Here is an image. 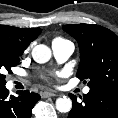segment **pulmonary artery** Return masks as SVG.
<instances>
[{"instance_id":"pulmonary-artery-1","label":"pulmonary artery","mask_w":118,"mask_h":118,"mask_svg":"<svg viewBox=\"0 0 118 118\" xmlns=\"http://www.w3.org/2000/svg\"><path fill=\"white\" fill-rule=\"evenodd\" d=\"M52 51L56 60L60 63L65 62L73 53L74 45L69 40H54L52 42ZM90 89L86 87L84 93H89Z\"/></svg>"}]
</instances>
